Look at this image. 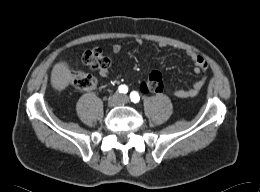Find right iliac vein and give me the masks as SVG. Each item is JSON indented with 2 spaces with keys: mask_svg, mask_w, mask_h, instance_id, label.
<instances>
[{
  "mask_svg": "<svg viewBox=\"0 0 260 192\" xmlns=\"http://www.w3.org/2000/svg\"><path fill=\"white\" fill-rule=\"evenodd\" d=\"M121 97L119 94H114L111 96L108 100V106L109 107H114L120 103Z\"/></svg>",
  "mask_w": 260,
  "mask_h": 192,
  "instance_id": "right-iliac-vein-1",
  "label": "right iliac vein"
}]
</instances>
